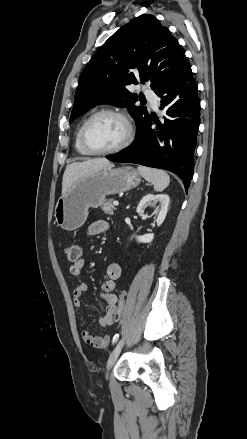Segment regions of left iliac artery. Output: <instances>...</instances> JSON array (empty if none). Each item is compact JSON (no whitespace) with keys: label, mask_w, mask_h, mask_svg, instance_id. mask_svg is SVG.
<instances>
[{"label":"left iliac artery","mask_w":247,"mask_h":439,"mask_svg":"<svg viewBox=\"0 0 247 439\" xmlns=\"http://www.w3.org/2000/svg\"><path fill=\"white\" fill-rule=\"evenodd\" d=\"M118 338H119V334H116V335L113 337V341H112V343L115 344V343L117 342Z\"/></svg>","instance_id":"44dca946"}]
</instances>
